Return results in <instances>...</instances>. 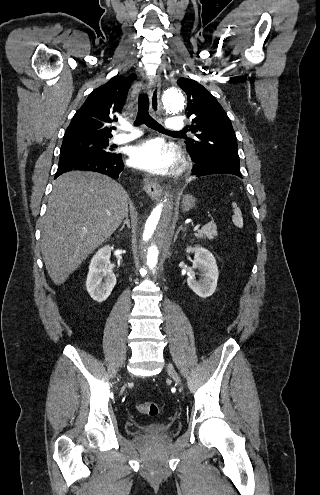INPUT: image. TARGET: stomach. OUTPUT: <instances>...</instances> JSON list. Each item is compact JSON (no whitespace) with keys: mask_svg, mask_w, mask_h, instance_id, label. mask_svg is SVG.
Returning a JSON list of instances; mask_svg holds the SVG:
<instances>
[{"mask_svg":"<svg viewBox=\"0 0 320 495\" xmlns=\"http://www.w3.org/2000/svg\"><path fill=\"white\" fill-rule=\"evenodd\" d=\"M194 206H195V198L192 195H185L182 200L183 211L187 212Z\"/></svg>","mask_w":320,"mask_h":495,"instance_id":"1","label":"stomach"}]
</instances>
